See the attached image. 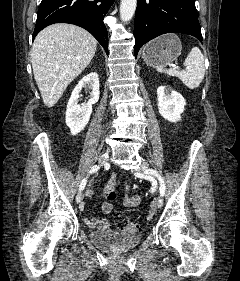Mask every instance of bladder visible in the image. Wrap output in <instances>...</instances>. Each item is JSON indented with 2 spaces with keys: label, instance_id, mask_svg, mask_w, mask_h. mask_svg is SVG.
Instances as JSON below:
<instances>
[{
  "label": "bladder",
  "instance_id": "bladder-1",
  "mask_svg": "<svg viewBox=\"0 0 240 281\" xmlns=\"http://www.w3.org/2000/svg\"><path fill=\"white\" fill-rule=\"evenodd\" d=\"M142 237L139 232H120L110 229L95 230L89 234L94 245L115 252H124L136 247Z\"/></svg>",
  "mask_w": 240,
  "mask_h": 281
}]
</instances>
